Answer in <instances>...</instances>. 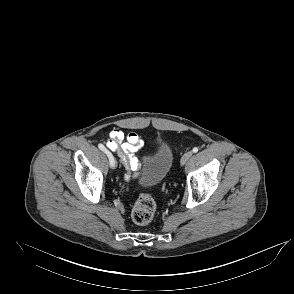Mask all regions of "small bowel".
Returning a JSON list of instances; mask_svg holds the SVG:
<instances>
[{
	"label": "small bowel",
	"instance_id": "1",
	"mask_svg": "<svg viewBox=\"0 0 294 294\" xmlns=\"http://www.w3.org/2000/svg\"><path fill=\"white\" fill-rule=\"evenodd\" d=\"M106 146L111 151L118 154L121 162L126 166L128 173L125 179L129 181L139 166V160L134 153L143 146V140L135 131L124 133L120 129H113L109 133V138L106 140Z\"/></svg>",
	"mask_w": 294,
	"mask_h": 294
}]
</instances>
